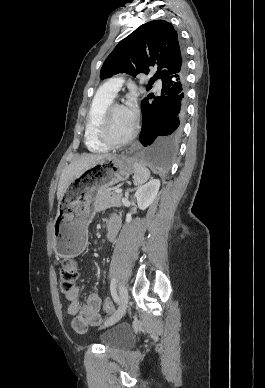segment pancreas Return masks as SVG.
<instances>
[{"label":"pancreas","mask_w":265,"mask_h":388,"mask_svg":"<svg viewBox=\"0 0 265 388\" xmlns=\"http://www.w3.org/2000/svg\"><path fill=\"white\" fill-rule=\"evenodd\" d=\"M122 194H114L107 188H100L95 198V208L106 210V208H120Z\"/></svg>","instance_id":"1"}]
</instances>
